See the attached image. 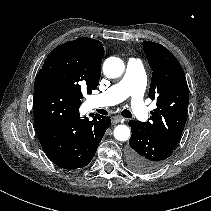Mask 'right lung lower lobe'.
<instances>
[{
    "label": "right lung lower lobe",
    "mask_w": 211,
    "mask_h": 211,
    "mask_svg": "<svg viewBox=\"0 0 211 211\" xmlns=\"http://www.w3.org/2000/svg\"><path fill=\"white\" fill-rule=\"evenodd\" d=\"M33 103L37 133L48 158L64 169L88 165L111 125L110 117L81 118V100L43 78L35 79Z\"/></svg>",
    "instance_id": "1"
}]
</instances>
